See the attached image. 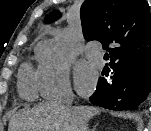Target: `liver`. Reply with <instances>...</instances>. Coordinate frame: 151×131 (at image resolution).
<instances>
[{"label":"liver","mask_w":151,"mask_h":131,"mask_svg":"<svg viewBox=\"0 0 151 131\" xmlns=\"http://www.w3.org/2000/svg\"><path fill=\"white\" fill-rule=\"evenodd\" d=\"M98 114L100 110L95 107H62L48 101L16 113L8 131H89V120Z\"/></svg>","instance_id":"1"}]
</instances>
